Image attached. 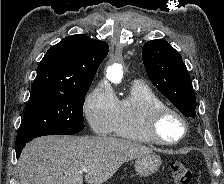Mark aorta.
<instances>
[{
  "instance_id": "1",
  "label": "aorta",
  "mask_w": 224,
  "mask_h": 184,
  "mask_svg": "<svg viewBox=\"0 0 224 184\" xmlns=\"http://www.w3.org/2000/svg\"><path fill=\"white\" fill-rule=\"evenodd\" d=\"M107 79L113 83H120L123 77L122 67L119 64H114L107 69Z\"/></svg>"
}]
</instances>
